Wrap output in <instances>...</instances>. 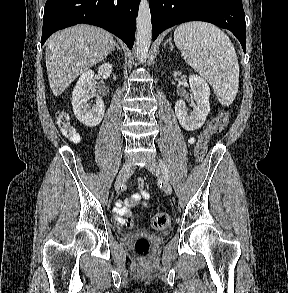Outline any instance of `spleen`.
I'll list each match as a JSON object with an SVG mask.
<instances>
[{"label": "spleen", "instance_id": "3e777b00", "mask_svg": "<svg viewBox=\"0 0 288 293\" xmlns=\"http://www.w3.org/2000/svg\"><path fill=\"white\" fill-rule=\"evenodd\" d=\"M174 42L186 63L213 87L222 105L228 106L238 92L239 64L229 37L206 22H189L174 31Z\"/></svg>", "mask_w": 288, "mask_h": 293}]
</instances>
